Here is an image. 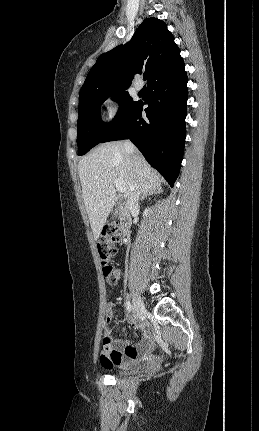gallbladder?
I'll use <instances>...</instances> for the list:
<instances>
[{
	"label": "gallbladder",
	"mask_w": 259,
	"mask_h": 431,
	"mask_svg": "<svg viewBox=\"0 0 259 431\" xmlns=\"http://www.w3.org/2000/svg\"><path fill=\"white\" fill-rule=\"evenodd\" d=\"M115 217H117V211H115V212L113 213L112 218H115Z\"/></svg>",
	"instance_id": "1"
}]
</instances>
